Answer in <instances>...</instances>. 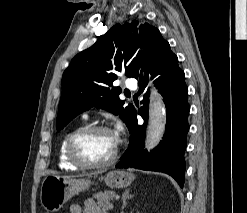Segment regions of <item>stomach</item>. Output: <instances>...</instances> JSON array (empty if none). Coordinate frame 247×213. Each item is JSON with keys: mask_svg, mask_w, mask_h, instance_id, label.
Masks as SVG:
<instances>
[{"mask_svg": "<svg viewBox=\"0 0 247 213\" xmlns=\"http://www.w3.org/2000/svg\"><path fill=\"white\" fill-rule=\"evenodd\" d=\"M135 176L132 173L114 170L104 178L111 188H125L129 186ZM89 179H71L60 176H46L41 185L40 201L47 212L58 211L74 195L86 190L91 184Z\"/></svg>", "mask_w": 247, "mask_h": 213, "instance_id": "stomach-1", "label": "stomach"}]
</instances>
